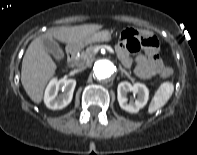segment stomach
I'll return each mask as SVG.
<instances>
[{
  "label": "stomach",
  "instance_id": "0dacf381",
  "mask_svg": "<svg viewBox=\"0 0 197 155\" xmlns=\"http://www.w3.org/2000/svg\"><path fill=\"white\" fill-rule=\"evenodd\" d=\"M111 40V33L108 30L96 31L92 35L86 37L79 43L75 44L78 47H83L93 42H108Z\"/></svg>",
  "mask_w": 197,
  "mask_h": 155
}]
</instances>
